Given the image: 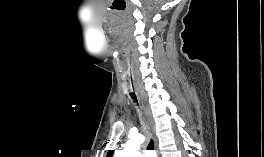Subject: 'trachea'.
Segmentation results:
<instances>
[{
    "label": "trachea",
    "mask_w": 264,
    "mask_h": 157,
    "mask_svg": "<svg viewBox=\"0 0 264 157\" xmlns=\"http://www.w3.org/2000/svg\"><path fill=\"white\" fill-rule=\"evenodd\" d=\"M124 78H125V81H126L128 84H130V91H132V85H131V83H132V78H131V74H130V71H129L128 68L125 69V75H124ZM129 94L131 95L132 98L136 99V95H135V93L130 92ZM153 148H154V143H153V141L151 140V141L149 142L148 146H147V150H153Z\"/></svg>",
    "instance_id": "trachea-1"
}]
</instances>
